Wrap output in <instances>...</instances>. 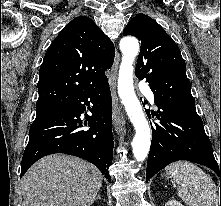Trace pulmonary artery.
Listing matches in <instances>:
<instances>
[{"mask_svg": "<svg viewBox=\"0 0 221 206\" xmlns=\"http://www.w3.org/2000/svg\"><path fill=\"white\" fill-rule=\"evenodd\" d=\"M140 88L144 91L149 101L154 104V94L151 91V89L148 87V85L145 83H141Z\"/></svg>", "mask_w": 221, "mask_h": 206, "instance_id": "pulmonary-artery-1", "label": "pulmonary artery"}]
</instances>
